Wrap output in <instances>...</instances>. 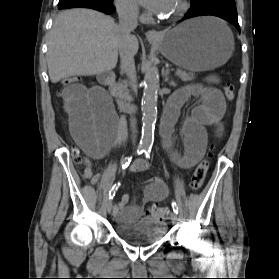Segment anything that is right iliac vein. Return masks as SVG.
<instances>
[{"mask_svg": "<svg viewBox=\"0 0 279 279\" xmlns=\"http://www.w3.org/2000/svg\"><path fill=\"white\" fill-rule=\"evenodd\" d=\"M112 208H113V203H112L111 200H109V201L107 202V204H106V210H107V212H108L109 214L111 213Z\"/></svg>", "mask_w": 279, "mask_h": 279, "instance_id": "right-iliac-vein-1", "label": "right iliac vein"}]
</instances>
